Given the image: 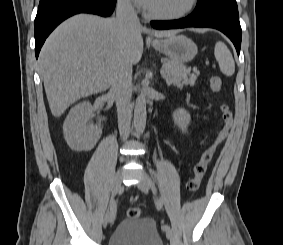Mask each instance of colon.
Returning a JSON list of instances; mask_svg holds the SVG:
<instances>
[{
  "label": "colon",
  "mask_w": 283,
  "mask_h": 245,
  "mask_svg": "<svg viewBox=\"0 0 283 245\" xmlns=\"http://www.w3.org/2000/svg\"><path fill=\"white\" fill-rule=\"evenodd\" d=\"M210 88L213 92H219L222 89V80L219 76L215 75L210 78ZM220 113L223 126L213 142L200 155L198 161L193 167V176L187 183V188L192 192H196L199 189L201 181L207 172V168L213 158L217 146L226 137L228 130L232 125L233 115L228 104H220ZM140 214V209L137 207H131L127 212L129 218H139Z\"/></svg>",
  "instance_id": "5ec220e1"
}]
</instances>
